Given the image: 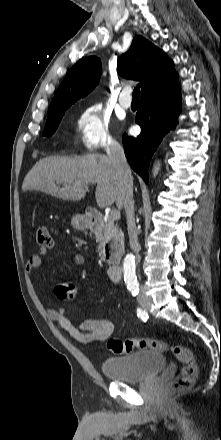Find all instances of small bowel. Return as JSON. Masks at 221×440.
Here are the masks:
<instances>
[{"instance_id":"small-bowel-1","label":"small bowel","mask_w":221,"mask_h":440,"mask_svg":"<svg viewBox=\"0 0 221 440\" xmlns=\"http://www.w3.org/2000/svg\"><path fill=\"white\" fill-rule=\"evenodd\" d=\"M46 252L47 250L42 248L38 254L32 255L28 259L26 272L30 277L42 266L43 256ZM72 260L75 265H82L84 263V257L79 253L74 254ZM45 310L50 319L57 322L62 331L86 346L105 342L114 331V325L108 319L86 318L79 324H74L62 308L45 307Z\"/></svg>"}]
</instances>
